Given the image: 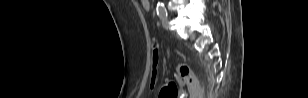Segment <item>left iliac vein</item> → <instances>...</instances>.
Segmentation results:
<instances>
[{"mask_svg": "<svg viewBox=\"0 0 308 98\" xmlns=\"http://www.w3.org/2000/svg\"><path fill=\"white\" fill-rule=\"evenodd\" d=\"M163 27H164L165 29H168V28H169V22H168L167 19H165V20L163 21Z\"/></svg>", "mask_w": 308, "mask_h": 98, "instance_id": "left-iliac-vein-1", "label": "left iliac vein"}]
</instances>
